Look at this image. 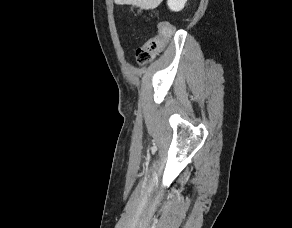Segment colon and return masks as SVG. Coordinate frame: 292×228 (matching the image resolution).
<instances>
[{"instance_id": "1", "label": "colon", "mask_w": 292, "mask_h": 228, "mask_svg": "<svg viewBox=\"0 0 292 228\" xmlns=\"http://www.w3.org/2000/svg\"><path fill=\"white\" fill-rule=\"evenodd\" d=\"M172 28L169 25L162 24L159 28V34L147 40L136 50V57L140 64H146L151 61L163 47L164 43L171 37Z\"/></svg>"}]
</instances>
